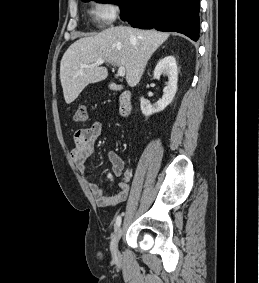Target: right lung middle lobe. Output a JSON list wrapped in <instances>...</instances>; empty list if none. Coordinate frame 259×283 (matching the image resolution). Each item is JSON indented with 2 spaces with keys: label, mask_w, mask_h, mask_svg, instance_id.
<instances>
[{
  "label": "right lung middle lobe",
  "mask_w": 259,
  "mask_h": 283,
  "mask_svg": "<svg viewBox=\"0 0 259 283\" xmlns=\"http://www.w3.org/2000/svg\"><path fill=\"white\" fill-rule=\"evenodd\" d=\"M83 1H84V2H88V1H90V0H83ZM96 1H97V2H104V3L110 2V3H117V4H119L121 0H96Z\"/></svg>",
  "instance_id": "obj_1"
}]
</instances>
